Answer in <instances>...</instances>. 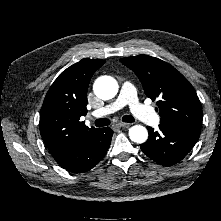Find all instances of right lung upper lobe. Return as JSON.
I'll return each mask as SVG.
<instances>
[{
    "mask_svg": "<svg viewBox=\"0 0 221 221\" xmlns=\"http://www.w3.org/2000/svg\"><path fill=\"white\" fill-rule=\"evenodd\" d=\"M104 63L101 59H82L64 70L48 90L40 112V133L55 160L98 130L87 127L80 117L87 113L90 79Z\"/></svg>",
    "mask_w": 221,
    "mask_h": 221,
    "instance_id": "1",
    "label": "right lung upper lobe"
}]
</instances>
